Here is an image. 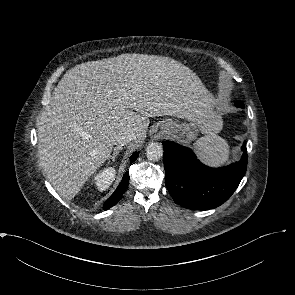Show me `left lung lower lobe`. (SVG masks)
I'll list each match as a JSON object with an SVG mask.
<instances>
[{
  "mask_svg": "<svg viewBox=\"0 0 295 295\" xmlns=\"http://www.w3.org/2000/svg\"><path fill=\"white\" fill-rule=\"evenodd\" d=\"M241 107V103H235ZM165 184L174 201L188 209L208 210L223 204L237 189L247 168L246 143L239 162L210 168L197 160L191 149L163 142Z\"/></svg>",
  "mask_w": 295,
  "mask_h": 295,
  "instance_id": "0a47b994",
  "label": "left lung lower lobe"
}]
</instances>
